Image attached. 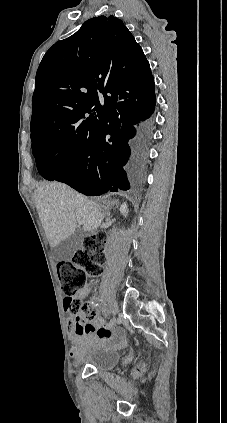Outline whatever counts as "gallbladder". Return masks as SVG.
<instances>
[{"mask_svg":"<svg viewBox=\"0 0 227 423\" xmlns=\"http://www.w3.org/2000/svg\"><path fill=\"white\" fill-rule=\"evenodd\" d=\"M88 233L82 229V227H78L72 235H69L67 239H63L61 243L52 247V255L55 261H69L71 257H73L75 251L77 249H81L83 247V241L85 237H87Z\"/></svg>","mask_w":227,"mask_h":423,"instance_id":"1","label":"gallbladder"}]
</instances>
